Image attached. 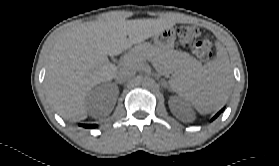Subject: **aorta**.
Instances as JSON below:
<instances>
[{
    "label": "aorta",
    "instance_id": "1",
    "mask_svg": "<svg viewBox=\"0 0 279 166\" xmlns=\"http://www.w3.org/2000/svg\"><path fill=\"white\" fill-rule=\"evenodd\" d=\"M154 84V79L151 77H145L142 81V85L146 87H150Z\"/></svg>",
    "mask_w": 279,
    "mask_h": 166
}]
</instances>
